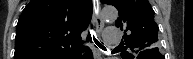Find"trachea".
Masks as SVG:
<instances>
[{"label": "trachea", "instance_id": "obj_1", "mask_svg": "<svg viewBox=\"0 0 193 59\" xmlns=\"http://www.w3.org/2000/svg\"><path fill=\"white\" fill-rule=\"evenodd\" d=\"M91 40H92L91 34L89 33L88 36H87V38H86V41L89 42V41H91ZM93 40H94L95 44H96L99 48H101L102 50H106L105 46H104L101 42H99V41L95 38V36H93ZM116 49H118V48H115L114 50H116Z\"/></svg>", "mask_w": 193, "mask_h": 59}]
</instances>
